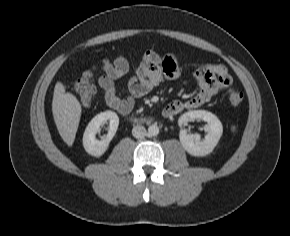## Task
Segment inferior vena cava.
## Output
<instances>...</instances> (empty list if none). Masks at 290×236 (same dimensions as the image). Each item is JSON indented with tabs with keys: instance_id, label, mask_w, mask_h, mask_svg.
<instances>
[{
	"instance_id": "obj_1",
	"label": "inferior vena cava",
	"mask_w": 290,
	"mask_h": 236,
	"mask_svg": "<svg viewBox=\"0 0 290 236\" xmlns=\"http://www.w3.org/2000/svg\"><path fill=\"white\" fill-rule=\"evenodd\" d=\"M146 134H147L146 129L142 125L134 126L132 129V135L135 138H143L144 136H146Z\"/></svg>"
}]
</instances>
